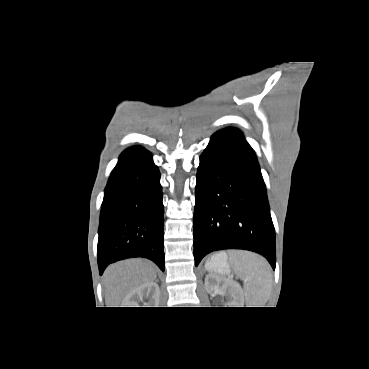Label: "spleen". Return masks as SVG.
Instances as JSON below:
<instances>
[{
  "mask_svg": "<svg viewBox=\"0 0 369 369\" xmlns=\"http://www.w3.org/2000/svg\"><path fill=\"white\" fill-rule=\"evenodd\" d=\"M234 271L244 280V293L248 307H263L272 284L271 267L257 254L246 251L229 252Z\"/></svg>",
  "mask_w": 369,
  "mask_h": 369,
  "instance_id": "1",
  "label": "spleen"
}]
</instances>
